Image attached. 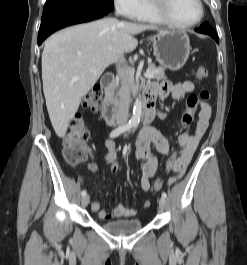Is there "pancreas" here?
<instances>
[{"mask_svg":"<svg viewBox=\"0 0 247 265\" xmlns=\"http://www.w3.org/2000/svg\"><path fill=\"white\" fill-rule=\"evenodd\" d=\"M148 72L153 74V79H155V80L160 81V80L166 79L164 69L160 68V67H156L154 64L148 65ZM127 86H128L129 92H134L135 80H134V77L132 75L128 78ZM122 89H123V87L119 88L118 84L115 86L116 94H115L114 99H113L114 102L118 101V96L121 95Z\"/></svg>","mask_w":247,"mask_h":265,"instance_id":"pancreas-1","label":"pancreas"}]
</instances>
